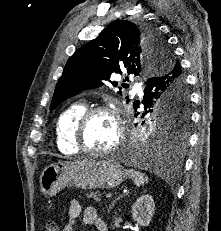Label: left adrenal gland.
<instances>
[{
	"label": "left adrenal gland",
	"instance_id": "left-adrenal-gland-1",
	"mask_svg": "<svg viewBox=\"0 0 221 231\" xmlns=\"http://www.w3.org/2000/svg\"><path fill=\"white\" fill-rule=\"evenodd\" d=\"M117 200H118V198H117L116 200H114V201L110 204L109 209H108V212H110V210L114 207V205H115V203H116Z\"/></svg>",
	"mask_w": 221,
	"mask_h": 231
}]
</instances>
